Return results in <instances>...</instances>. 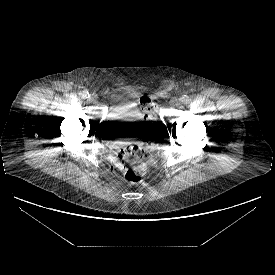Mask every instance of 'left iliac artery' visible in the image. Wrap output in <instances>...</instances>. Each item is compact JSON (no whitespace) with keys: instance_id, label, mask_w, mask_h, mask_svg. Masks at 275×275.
Returning a JSON list of instances; mask_svg holds the SVG:
<instances>
[{"instance_id":"44dca946","label":"left iliac artery","mask_w":275,"mask_h":275,"mask_svg":"<svg viewBox=\"0 0 275 275\" xmlns=\"http://www.w3.org/2000/svg\"><path fill=\"white\" fill-rule=\"evenodd\" d=\"M180 100L185 104L190 102V98L187 95H183Z\"/></svg>"}]
</instances>
